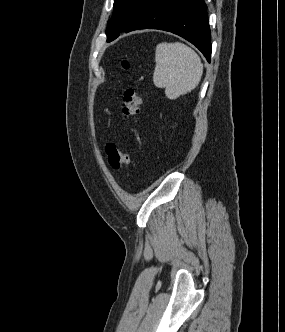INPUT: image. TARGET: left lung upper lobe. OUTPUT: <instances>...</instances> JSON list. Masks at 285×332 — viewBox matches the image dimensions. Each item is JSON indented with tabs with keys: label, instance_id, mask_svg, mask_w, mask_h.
Listing matches in <instances>:
<instances>
[{
	"label": "left lung upper lobe",
	"instance_id": "left-lung-upper-lobe-1",
	"mask_svg": "<svg viewBox=\"0 0 285 332\" xmlns=\"http://www.w3.org/2000/svg\"><path fill=\"white\" fill-rule=\"evenodd\" d=\"M152 0H114V12L108 23L107 41L111 42L125 30Z\"/></svg>",
	"mask_w": 285,
	"mask_h": 332
}]
</instances>
